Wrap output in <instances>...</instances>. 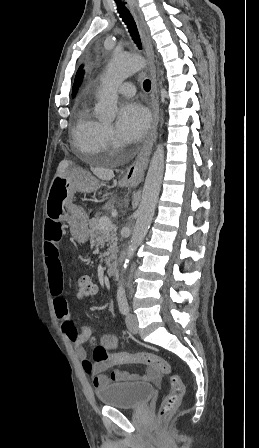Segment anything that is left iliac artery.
I'll list each match as a JSON object with an SVG mask.
<instances>
[{
	"label": "left iliac artery",
	"instance_id": "obj_1",
	"mask_svg": "<svg viewBox=\"0 0 259 448\" xmlns=\"http://www.w3.org/2000/svg\"><path fill=\"white\" fill-rule=\"evenodd\" d=\"M117 301L120 312L124 315L127 314L129 312V304L127 301L125 289L122 284L118 286Z\"/></svg>",
	"mask_w": 259,
	"mask_h": 448
}]
</instances>
